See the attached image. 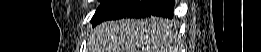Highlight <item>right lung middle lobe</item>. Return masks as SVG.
Listing matches in <instances>:
<instances>
[{
  "label": "right lung middle lobe",
  "instance_id": "dd1d6c3e",
  "mask_svg": "<svg viewBox=\"0 0 261 52\" xmlns=\"http://www.w3.org/2000/svg\"><path fill=\"white\" fill-rule=\"evenodd\" d=\"M107 0H101V5L103 4V3H105Z\"/></svg>",
  "mask_w": 261,
  "mask_h": 52
}]
</instances>
